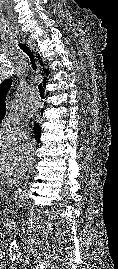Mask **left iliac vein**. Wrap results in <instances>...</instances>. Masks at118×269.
Wrapping results in <instances>:
<instances>
[{
    "mask_svg": "<svg viewBox=\"0 0 118 269\" xmlns=\"http://www.w3.org/2000/svg\"><path fill=\"white\" fill-rule=\"evenodd\" d=\"M22 265L25 266V262L24 261L22 262Z\"/></svg>",
    "mask_w": 118,
    "mask_h": 269,
    "instance_id": "obj_1",
    "label": "left iliac vein"
}]
</instances>
